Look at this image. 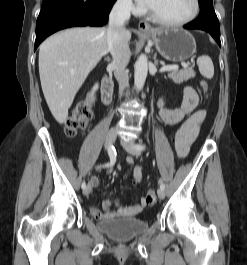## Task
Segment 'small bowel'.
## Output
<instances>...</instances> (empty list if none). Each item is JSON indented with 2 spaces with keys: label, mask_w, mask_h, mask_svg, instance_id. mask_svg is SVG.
Masks as SVG:
<instances>
[{
  "label": "small bowel",
  "mask_w": 247,
  "mask_h": 265,
  "mask_svg": "<svg viewBox=\"0 0 247 265\" xmlns=\"http://www.w3.org/2000/svg\"><path fill=\"white\" fill-rule=\"evenodd\" d=\"M199 104V96L197 92L190 86L184 88L183 99L179 108L171 109L166 108L164 101L160 100V117L161 120L167 125L180 124L177 129L178 143L176 146L177 154L180 158H184L199 134L200 128L205 120L206 112L202 109H197ZM128 163L133 164L131 158ZM134 178L136 183H140L143 178V168L136 166L134 169ZM93 187L98 185L96 177L91 179ZM145 198L132 206H121L117 199H107L104 202V210L100 211L97 208L90 206V214L98 220H108L118 217L135 216L141 213L146 207Z\"/></svg>",
  "instance_id": "obj_1"
}]
</instances>
